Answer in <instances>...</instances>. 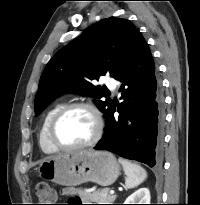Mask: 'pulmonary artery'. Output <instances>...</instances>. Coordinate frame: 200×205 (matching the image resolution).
I'll use <instances>...</instances> for the list:
<instances>
[{
  "instance_id": "e3ab8cb5",
  "label": "pulmonary artery",
  "mask_w": 200,
  "mask_h": 205,
  "mask_svg": "<svg viewBox=\"0 0 200 205\" xmlns=\"http://www.w3.org/2000/svg\"><path fill=\"white\" fill-rule=\"evenodd\" d=\"M106 85L110 88V89H112V90H114L115 88H116V82L113 80V79H109V80H107L106 81Z\"/></svg>"
}]
</instances>
